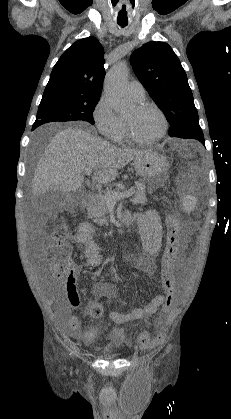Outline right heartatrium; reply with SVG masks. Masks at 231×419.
Wrapping results in <instances>:
<instances>
[{"instance_id":"obj_1","label":"right heart atrium","mask_w":231,"mask_h":419,"mask_svg":"<svg viewBox=\"0 0 231 419\" xmlns=\"http://www.w3.org/2000/svg\"><path fill=\"white\" fill-rule=\"evenodd\" d=\"M93 118L98 130L104 137L119 140L125 135V123L116 114L105 95H102L97 101L93 110Z\"/></svg>"}]
</instances>
